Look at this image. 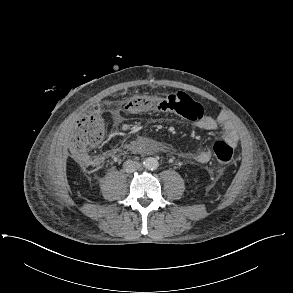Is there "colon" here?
<instances>
[{
    "label": "colon",
    "instance_id": "5ec220e1",
    "mask_svg": "<svg viewBox=\"0 0 293 293\" xmlns=\"http://www.w3.org/2000/svg\"><path fill=\"white\" fill-rule=\"evenodd\" d=\"M123 115H141L150 112L175 113L183 118L198 120L203 115V107L183 92L170 94L163 98L133 95L123 105ZM104 133V122L99 114H91L83 119L76 130L72 150L78 157L98 145ZM213 151L216 159L223 165H230L234 159L233 147L224 140L215 142Z\"/></svg>",
    "mask_w": 293,
    "mask_h": 293
}]
</instances>
